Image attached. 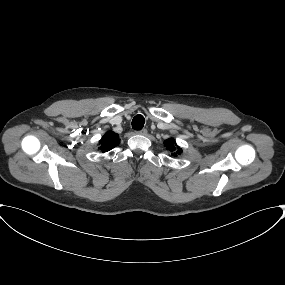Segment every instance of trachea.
I'll use <instances>...</instances> for the list:
<instances>
[{
	"label": "trachea",
	"instance_id": "3493384b",
	"mask_svg": "<svg viewBox=\"0 0 285 285\" xmlns=\"http://www.w3.org/2000/svg\"><path fill=\"white\" fill-rule=\"evenodd\" d=\"M145 119L142 115H136L132 120V128L134 130H141L144 126Z\"/></svg>",
	"mask_w": 285,
	"mask_h": 285
}]
</instances>
